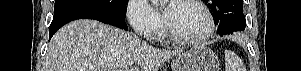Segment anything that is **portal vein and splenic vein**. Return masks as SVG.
I'll return each mask as SVG.
<instances>
[{
	"label": "portal vein and splenic vein",
	"mask_w": 301,
	"mask_h": 71,
	"mask_svg": "<svg viewBox=\"0 0 301 71\" xmlns=\"http://www.w3.org/2000/svg\"><path fill=\"white\" fill-rule=\"evenodd\" d=\"M119 71H127V69H119Z\"/></svg>",
	"instance_id": "obj_1"
}]
</instances>
